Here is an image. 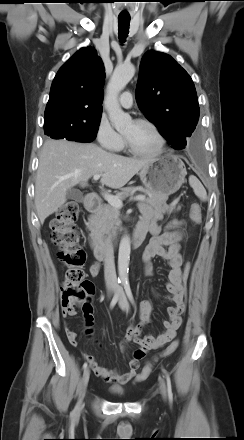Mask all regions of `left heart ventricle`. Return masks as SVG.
<instances>
[{"label": "left heart ventricle", "instance_id": "obj_1", "mask_svg": "<svg viewBox=\"0 0 244 440\" xmlns=\"http://www.w3.org/2000/svg\"><path fill=\"white\" fill-rule=\"evenodd\" d=\"M123 135L135 148L143 152L154 151L158 146V139L154 131L145 125L131 122L123 131Z\"/></svg>", "mask_w": 244, "mask_h": 440}]
</instances>
